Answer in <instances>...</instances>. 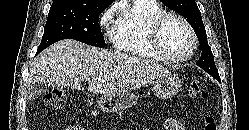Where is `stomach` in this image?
I'll return each mask as SVG.
<instances>
[{
    "instance_id": "1",
    "label": "stomach",
    "mask_w": 249,
    "mask_h": 130,
    "mask_svg": "<svg viewBox=\"0 0 249 130\" xmlns=\"http://www.w3.org/2000/svg\"><path fill=\"white\" fill-rule=\"evenodd\" d=\"M181 88L179 79L173 77L171 74L159 77L154 84L155 96L162 99H169L175 96ZM138 101V96L133 93H120L103 95L98 101V107L107 113L119 112L134 106Z\"/></svg>"
}]
</instances>
